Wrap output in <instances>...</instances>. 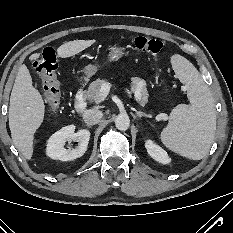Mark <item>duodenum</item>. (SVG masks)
I'll return each mask as SVG.
<instances>
[{
    "mask_svg": "<svg viewBox=\"0 0 233 233\" xmlns=\"http://www.w3.org/2000/svg\"><path fill=\"white\" fill-rule=\"evenodd\" d=\"M86 101H85V85L81 83L75 94V109L77 112H84L86 109Z\"/></svg>",
    "mask_w": 233,
    "mask_h": 233,
    "instance_id": "410a0bca",
    "label": "duodenum"
}]
</instances>
